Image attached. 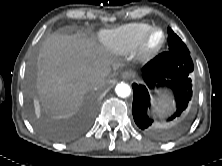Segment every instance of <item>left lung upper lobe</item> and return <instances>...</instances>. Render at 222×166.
<instances>
[{
    "label": "left lung upper lobe",
    "instance_id": "left-lung-upper-lobe-1",
    "mask_svg": "<svg viewBox=\"0 0 222 166\" xmlns=\"http://www.w3.org/2000/svg\"><path fill=\"white\" fill-rule=\"evenodd\" d=\"M168 46L169 51L190 53L184 42L170 28H168Z\"/></svg>",
    "mask_w": 222,
    "mask_h": 166
}]
</instances>
